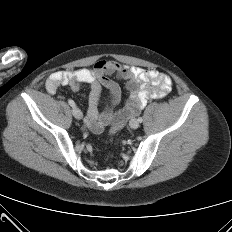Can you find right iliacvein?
I'll use <instances>...</instances> for the list:
<instances>
[{
  "label": "right iliac vein",
  "instance_id": "right-iliac-vein-1",
  "mask_svg": "<svg viewBox=\"0 0 232 232\" xmlns=\"http://www.w3.org/2000/svg\"><path fill=\"white\" fill-rule=\"evenodd\" d=\"M72 114L76 119H82V117H83L81 110L75 106L72 109Z\"/></svg>",
  "mask_w": 232,
  "mask_h": 232
}]
</instances>
